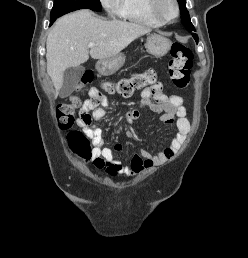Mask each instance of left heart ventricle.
<instances>
[{
    "instance_id": "obj_1",
    "label": "left heart ventricle",
    "mask_w": 248,
    "mask_h": 258,
    "mask_svg": "<svg viewBox=\"0 0 248 258\" xmlns=\"http://www.w3.org/2000/svg\"><path fill=\"white\" fill-rule=\"evenodd\" d=\"M159 10L161 14L167 18H171L175 14L174 5L171 0H161L159 3Z\"/></svg>"
}]
</instances>
